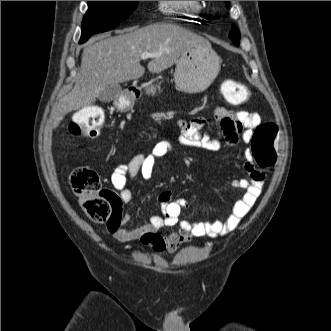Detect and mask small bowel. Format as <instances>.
Masks as SVG:
<instances>
[{"instance_id":"small-bowel-1","label":"small bowel","mask_w":331,"mask_h":331,"mask_svg":"<svg viewBox=\"0 0 331 331\" xmlns=\"http://www.w3.org/2000/svg\"><path fill=\"white\" fill-rule=\"evenodd\" d=\"M261 118L256 113L246 111H230L224 107H216L213 119L208 123L205 117H194L190 120H180L181 135L179 143L186 147L202 148L216 151L221 147L219 136H212L203 132L207 125H219L221 134L229 145H235L239 136L248 143L252 139L254 129L260 124ZM175 153L174 145L169 141L156 143L148 154H138L129 162L116 166L111 174V184L120 201L127 204L132 199L129 189L130 181L141 174L143 178L150 179L156 161L168 154ZM244 168L248 178H238L232 181V186L244 191L243 196L234 204L231 214L225 221H202L190 222L181 219V214L188 209V203L184 199L172 200L171 192L162 191L158 200L161 204L163 216L154 215L149 223L136 227L125 228L130 216L125 214L121 217L120 226L110 228L113 237L120 242L140 241L150 247L156 254L164 252L173 253L180 246L191 241L194 237H217L224 236L232 231L240 221L250 212L262 192L265 174L259 170L253 162V154L250 149L244 153ZM178 229L170 234L158 233L162 227H174Z\"/></svg>"}]
</instances>
